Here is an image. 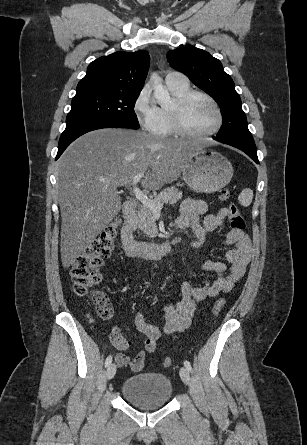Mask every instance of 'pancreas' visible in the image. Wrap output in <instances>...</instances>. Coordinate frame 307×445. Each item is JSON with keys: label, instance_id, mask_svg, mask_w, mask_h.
Segmentation results:
<instances>
[{"label": "pancreas", "instance_id": "obj_1", "mask_svg": "<svg viewBox=\"0 0 307 445\" xmlns=\"http://www.w3.org/2000/svg\"><path fill=\"white\" fill-rule=\"evenodd\" d=\"M179 198H182V190L175 188V186H168L161 190L154 200L155 204H164V202H177ZM154 212L150 206L142 204L139 210H135V218L138 229H141L145 235H156L157 225L153 216Z\"/></svg>", "mask_w": 307, "mask_h": 445}]
</instances>
